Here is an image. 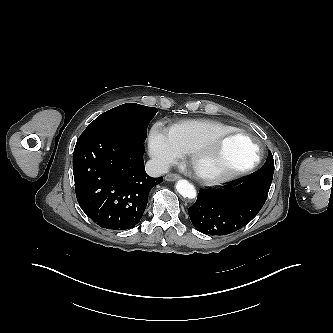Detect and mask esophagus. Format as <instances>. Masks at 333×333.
I'll return each mask as SVG.
<instances>
[{"instance_id": "obj_1", "label": "esophagus", "mask_w": 333, "mask_h": 333, "mask_svg": "<svg viewBox=\"0 0 333 333\" xmlns=\"http://www.w3.org/2000/svg\"><path fill=\"white\" fill-rule=\"evenodd\" d=\"M164 178L166 181H176V180L180 179V175L174 174V173H169Z\"/></svg>"}]
</instances>
